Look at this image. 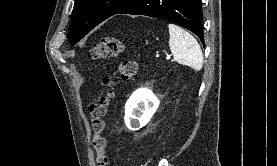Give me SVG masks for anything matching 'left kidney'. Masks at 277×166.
Listing matches in <instances>:
<instances>
[{
	"mask_svg": "<svg viewBox=\"0 0 277 166\" xmlns=\"http://www.w3.org/2000/svg\"><path fill=\"white\" fill-rule=\"evenodd\" d=\"M159 99L148 88L136 90L125 105L124 121L129 130L144 127L159 106Z\"/></svg>",
	"mask_w": 277,
	"mask_h": 166,
	"instance_id": "left-kidney-1",
	"label": "left kidney"
}]
</instances>
